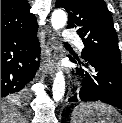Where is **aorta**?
<instances>
[{
	"label": "aorta",
	"instance_id": "aorta-1",
	"mask_svg": "<svg viewBox=\"0 0 122 123\" xmlns=\"http://www.w3.org/2000/svg\"><path fill=\"white\" fill-rule=\"evenodd\" d=\"M67 22V15L64 10L57 9L52 13L51 17V24L54 30H59L66 25ZM65 93V78L62 71H58L56 73L53 87H52V94L53 99L58 102L60 101Z\"/></svg>",
	"mask_w": 122,
	"mask_h": 123
}]
</instances>
